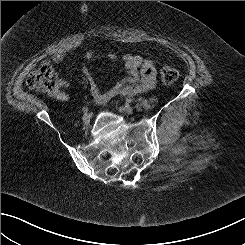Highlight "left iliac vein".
Returning <instances> with one entry per match:
<instances>
[{
    "label": "left iliac vein",
    "mask_w": 245,
    "mask_h": 245,
    "mask_svg": "<svg viewBox=\"0 0 245 245\" xmlns=\"http://www.w3.org/2000/svg\"><path fill=\"white\" fill-rule=\"evenodd\" d=\"M119 111L121 113L131 114L133 112V108L130 105L120 106Z\"/></svg>",
    "instance_id": "4c4485c4"
}]
</instances>
